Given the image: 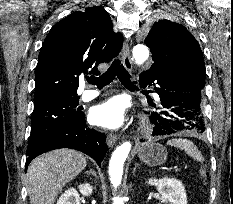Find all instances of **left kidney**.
Here are the masks:
<instances>
[{"mask_svg":"<svg viewBox=\"0 0 233 204\" xmlns=\"http://www.w3.org/2000/svg\"><path fill=\"white\" fill-rule=\"evenodd\" d=\"M156 186L161 194V203L164 204H187V196L184 185L175 178L164 177L162 179H149L147 182Z\"/></svg>","mask_w":233,"mask_h":204,"instance_id":"left-kidney-1","label":"left kidney"}]
</instances>
